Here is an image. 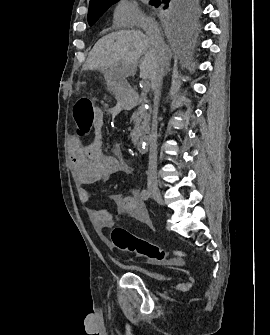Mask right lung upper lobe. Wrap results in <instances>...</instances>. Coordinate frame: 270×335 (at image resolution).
<instances>
[{
  "instance_id": "right-lung-upper-lobe-1",
  "label": "right lung upper lobe",
  "mask_w": 270,
  "mask_h": 335,
  "mask_svg": "<svg viewBox=\"0 0 270 335\" xmlns=\"http://www.w3.org/2000/svg\"><path fill=\"white\" fill-rule=\"evenodd\" d=\"M118 0H90L89 6H97L105 3H115Z\"/></svg>"
}]
</instances>
